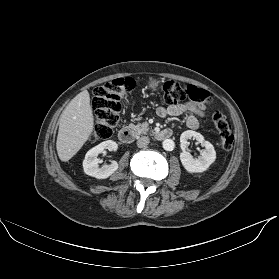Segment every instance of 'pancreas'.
<instances>
[{"label": "pancreas", "mask_w": 279, "mask_h": 279, "mask_svg": "<svg viewBox=\"0 0 279 279\" xmlns=\"http://www.w3.org/2000/svg\"><path fill=\"white\" fill-rule=\"evenodd\" d=\"M138 120V119H136ZM130 128L136 130L139 133H147L149 131V124L148 122H143V123H138L136 125L134 124H130L129 125Z\"/></svg>", "instance_id": "1"}]
</instances>
